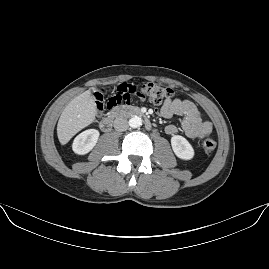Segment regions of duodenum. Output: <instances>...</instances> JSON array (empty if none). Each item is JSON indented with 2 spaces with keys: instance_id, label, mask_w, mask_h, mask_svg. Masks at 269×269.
Here are the masks:
<instances>
[{
  "instance_id": "410a0bca",
  "label": "duodenum",
  "mask_w": 269,
  "mask_h": 269,
  "mask_svg": "<svg viewBox=\"0 0 269 269\" xmlns=\"http://www.w3.org/2000/svg\"><path fill=\"white\" fill-rule=\"evenodd\" d=\"M123 116H139L144 119L145 127L147 129H151L153 126L152 122L147 118L146 113L139 108L134 106H122L112 109L106 116H104L100 122V128L105 132L110 131L115 120Z\"/></svg>"
}]
</instances>
